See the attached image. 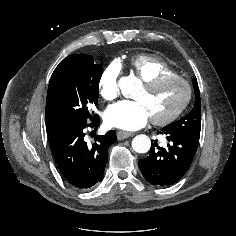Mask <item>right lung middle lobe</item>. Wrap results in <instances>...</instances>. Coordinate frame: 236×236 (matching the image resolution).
<instances>
[{
	"mask_svg": "<svg viewBox=\"0 0 236 236\" xmlns=\"http://www.w3.org/2000/svg\"><path fill=\"white\" fill-rule=\"evenodd\" d=\"M63 61L52 74L46 107L53 112L64 131L86 125L98 116L92 108L98 103L102 70L88 55H73ZM60 134H48V138L52 140Z\"/></svg>",
	"mask_w": 236,
	"mask_h": 236,
	"instance_id": "dd1d6c3e",
	"label": "right lung middle lobe"
}]
</instances>
